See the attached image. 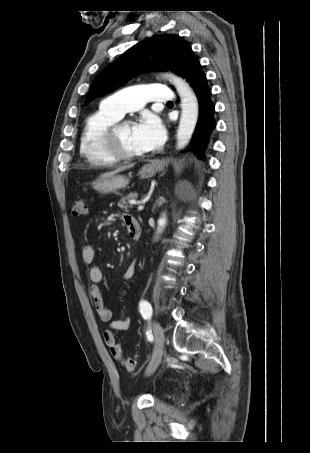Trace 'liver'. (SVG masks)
Segmentation results:
<instances>
[{"mask_svg": "<svg viewBox=\"0 0 310 453\" xmlns=\"http://www.w3.org/2000/svg\"><path fill=\"white\" fill-rule=\"evenodd\" d=\"M131 167H132V165H128V166H120V167L116 168V169L113 170V171H110V172H106V173H104V174H101L100 178H106V177L113 176V175H115V174H117V173H119V172H122V171H124V170H126V169H129V168H131Z\"/></svg>", "mask_w": 310, "mask_h": 453, "instance_id": "liver-1", "label": "liver"}]
</instances>
